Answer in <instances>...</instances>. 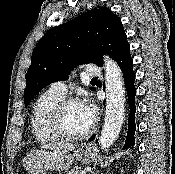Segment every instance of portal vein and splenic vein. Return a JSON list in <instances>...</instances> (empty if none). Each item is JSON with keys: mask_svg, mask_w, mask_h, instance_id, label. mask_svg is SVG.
<instances>
[{"mask_svg": "<svg viewBox=\"0 0 175 174\" xmlns=\"http://www.w3.org/2000/svg\"><path fill=\"white\" fill-rule=\"evenodd\" d=\"M81 174H86V171H81Z\"/></svg>", "mask_w": 175, "mask_h": 174, "instance_id": "portal-vein-and-splenic-vein-1", "label": "portal vein and splenic vein"}]
</instances>
